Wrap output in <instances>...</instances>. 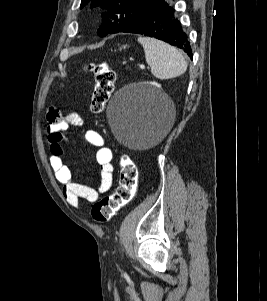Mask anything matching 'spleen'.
<instances>
[{
	"mask_svg": "<svg viewBox=\"0 0 267 301\" xmlns=\"http://www.w3.org/2000/svg\"><path fill=\"white\" fill-rule=\"evenodd\" d=\"M138 42L143 46L146 62L156 78L171 79L185 73L187 62L176 48L147 37H139Z\"/></svg>",
	"mask_w": 267,
	"mask_h": 301,
	"instance_id": "obj_1",
	"label": "spleen"
}]
</instances>
